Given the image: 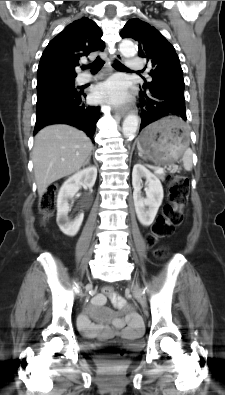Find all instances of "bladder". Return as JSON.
I'll return each instance as SVG.
<instances>
[{"instance_id":"31cf9c89","label":"bladder","mask_w":225,"mask_h":395,"mask_svg":"<svg viewBox=\"0 0 225 395\" xmlns=\"http://www.w3.org/2000/svg\"><path fill=\"white\" fill-rule=\"evenodd\" d=\"M135 346H136V344H135V343H133V344H132V348H135Z\"/></svg>"}]
</instances>
